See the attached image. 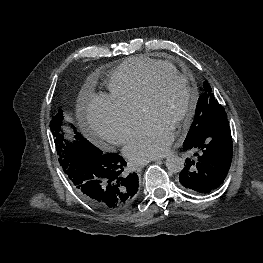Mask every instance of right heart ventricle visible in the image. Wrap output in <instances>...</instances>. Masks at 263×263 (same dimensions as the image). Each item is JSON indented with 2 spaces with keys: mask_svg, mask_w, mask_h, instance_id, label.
Returning <instances> with one entry per match:
<instances>
[{
  "mask_svg": "<svg viewBox=\"0 0 263 263\" xmlns=\"http://www.w3.org/2000/svg\"><path fill=\"white\" fill-rule=\"evenodd\" d=\"M158 70H176L167 61L133 57L122 62L109 76L110 94L120 102L139 109L143 92Z\"/></svg>",
  "mask_w": 263,
  "mask_h": 263,
  "instance_id": "1",
  "label": "right heart ventricle"
}]
</instances>
